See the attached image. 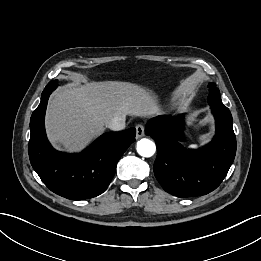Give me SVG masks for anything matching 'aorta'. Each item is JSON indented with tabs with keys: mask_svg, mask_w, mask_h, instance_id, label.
Instances as JSON below:
<instances>
[{
	"mask_svg": "<svg viewBox=\"0 0 261 261\" xmlns=\"http://www.w3.org/2000/svg\"><path fill=\"white\" fill-rule=\"evenodd\" d=\"M156 151L155 143L149 139L143 138L137 142V152L143 157H151Z\"/></svg>",
	"mask_w": 261,
	"mask_h": 261,
	"instance_id": "aorta-1",
	"label": "aorta"
}]
</instances>
